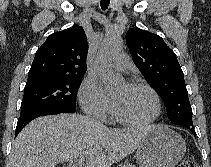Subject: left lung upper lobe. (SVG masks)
<instances>
[{
	"label": "left lung upper lobe",
	"instance_id": "1",
	"mask_svg": "<svg viewBox=\"0 0 211 167\" xmlns=\"http://www.w3.org/2000/svg\"><path fill=\"white\" fill-rule=\"evenodd\" d=\"M126 42L135 65L163 99L168 119L176 125L193 126L184 74L176 54L160 36L137 27L127 32Z\"/></svg>",
	"mask_w": 211,
	"mask_h": 167
}]
</instances>
